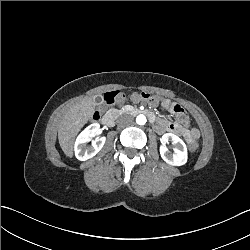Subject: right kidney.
<instances>
[{
    "instance_id": "obj_1",
    "label": "right kidney",
    "mask_w": 250,
    "mask_h": 250,
    "mask_svg": "<svg viewBox=\"0 0 250 250\" xmlns=\"http://www.w3.org/2000/svg\"><path fill=\"white\" fill-rule=\"evenodd\" d=\"M99 129V123H92L83 131H81L76 137L74 143V154L78 160L83 161L92 158L103 147L105 143V137L92 139L94 136L100 134ZM90 140L92 146L87 148L86 142Z\"/></svg>"
}]
</instances>
